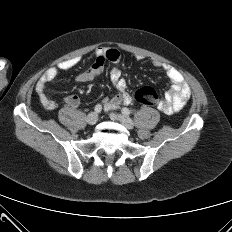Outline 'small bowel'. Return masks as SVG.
Segmentation results:
<instances>
[{"label":"small bowel","instance_id":"small-bowel-1","mask_svg":"<svg viewBox=\"0 0 232 232\" xmlns=\"http://www.w3.org/2000/svg\"><path fill=\"white\" fill-rule=\"evenodd\" d=\"M79 61L80 59L78 57L61 61L56 66L48 69L40 77L35 90L45 109L53 110L57 106L56 102L47 96L45 92L46 84L53 82L60 71L73 69ZM106 62L114 64V67L110 71V80L115 87L116 93L104 99L105 110L112 111L118 109L121 104L129 105L132 102V98L127 90V81L117 66L120 62V54L116 49L97 48L93 64L88 69L78 73L76 80L78 82L95 80L102 73ZM153 65L163 71L171 82V89L164 94L163 99L158 104V109L164 114L179 112L183 109L191 95L189 85L184 80L182 74L174 67L160 61H154ZM65 102L71 108H76L80 104L79 98L76 95L67 96Z\"/></svg>","mask_w":232,"mask_h":232}]
</instances>
